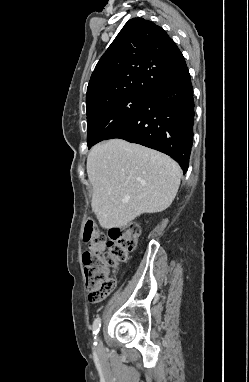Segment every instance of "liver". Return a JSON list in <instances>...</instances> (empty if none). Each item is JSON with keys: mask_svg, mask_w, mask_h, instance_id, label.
<instances>
[{"mask_svg": "<svg viewBox=\"0 0 249 382\" xmlns=\"http://www.w3.org/2000/svg\"><path fill=\"white\" fill-rule=\"evenodd\" d=\"M92 210L104 229L122 228L143 213L167 209L181 168L169 156L122 139L95 145L87 157Z\"/></svg>", "mask_w": 249, "mask_h": 382, "instance_id": "6515ba94", "label": "liver"}]
</instances>
